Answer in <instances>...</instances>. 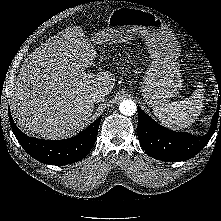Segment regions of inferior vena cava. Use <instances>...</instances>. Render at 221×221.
Instances as JSON below:
<instances>
[{
	"label": "inferior vena cava",
	"instance_id": "inferior-vena-cava-1",
	"mask_svg": "<svg viewBox=\"0 0 221 221\" xmlns=\"http://www.w3.org/2000/svg\"><path fill=\"white\" fill-rule=\"evenodd\" d=\"M106 95L107 94L103 90H96L91 94V100L94 103H98V102L104 100Z\"/></svg>",
	"mask_w": 221,
	"mask_h": 221
}]
</instances>
